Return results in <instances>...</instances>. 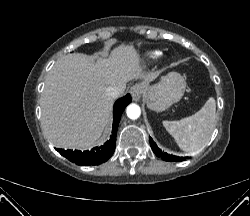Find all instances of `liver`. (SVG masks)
I'll list each match as a JSON object with an SVG mask.
<instances>
[{
    "instance_id": "1",
    "label": "liver",
    "mask_w": 250,
    "mask_h": 216,
    "mask_svg": "<svg viewBox=\"0 0 250 216\" xmlns=\"http://www.w3.org/2000/svg\"><path fill=\"white\" fill-rule=\"evenodd\" d=\"M156 73L144 74L132 45H120L109 58L68 54L56 61L47 75L41 98L42 128L58 148L86 149L102 135L112 112L114 98L107 88L143 78L153 81ZM121 94V95H122Z\"/></svg>"
}]
</instances>
